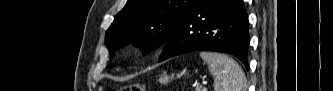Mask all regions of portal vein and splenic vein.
Returning <instances> with one entry per match:
<instances>
[{"label": "portal vein and splenic vein", "mask_w": 333, "mask_h": 91, "mask_svg": "<svg viewBox=\"0 0 333 91\" xmlns=\"http://www.w3.org/2000/svg\"><path fill=\"white\" fill-rule=\"evenodd\" d=\"M202 88V84H199L196 86V89H201Z\"/></svg>", "instance_id": "portal-vein-and-splenic-vein-1"}]
</instances>
